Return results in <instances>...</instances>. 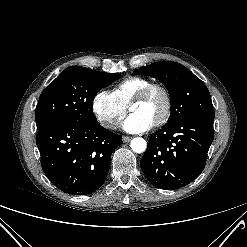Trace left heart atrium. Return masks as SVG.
Segmentation results:
<instances>
[{
  "label": "left heart atrium",
  "mask_w": 247,
  "mask_h": 247,
  "mask_svg": "<svg viewBox=\"0 0 247 247\" xmlns=\"http://www.w3.org/2000/svg\"><path fill=\"white\" fill-rule=\"evenodd\" d=\"M152 123L136 112H132L122 123V128L129 133H141L147 131Z\"/></svg>",
  "instance_id": "39dd6f15"
}]
</instances>
